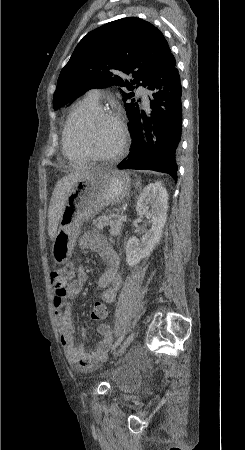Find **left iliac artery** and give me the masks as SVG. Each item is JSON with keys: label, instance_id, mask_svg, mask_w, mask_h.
Segmentation results:
<instances>
[{"label": "left iliac artery", "instance_id": "44dca946", "mask_svg": "<svg viewBox=\"0 0 245 450\" xmlns=\"http://www.w3.org/2000/svg\"><path fill=\"white\" fill-rule=\"evenodd\" d=\"M125 334L121 335L116 342L114 343L112 350H114L118 345H120V343L123 341Z\"/></svg>", "mask_w": 245, "mask_h": 450}]
</instances>
